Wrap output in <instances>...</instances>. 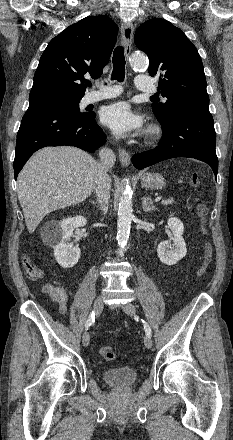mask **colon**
Instances as JSON below:
<instances>
[{
  "label": "colon",
  "mask_w": 233,
  "mask_h": 440,
  "mask_svg": "<svg viewBox=\"0 0 233 440\" xmlns=\"http://www.w3.org/2000/svg\"><path fill=\"white\" fill-rule=\"evenodd\" d=\"M190 183L194 187L200 186V184H201L200 175L196 172L192 173L190 176ZM208 212H209V209H208L207 205L203 202H200L197 206V216H198L201 231L203 234L207 233L206 219L208 216ZM212 257H213V248L209 242H206L205 248H204V255H203L202 264L196 273L197 279H201L205 276L207 269L212 261ZM22 264H23L24 271H25L26 275L30 279L39 280L43 277L42 269L39 266H37L35 263H33V261L28 256H24L22 258ZM100 354L107 361H112L116 358V354H115L113 348L110 346H102L100 348Z\"/></svg>",
  "instance_id": "colon-1"
}]
</instances>
